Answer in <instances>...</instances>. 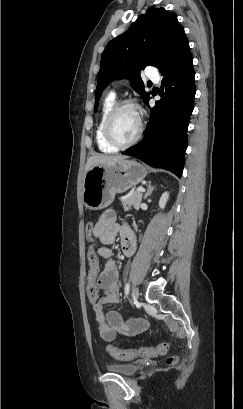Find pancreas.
I'll use <instances>...</instances> for the list:
<instances>
[{"label":"pancreas","mask_w":243,"mask_h":409,"mask_svg":"<svg viewBox=\"0 0 243 409\" xmlns=\"http://www.w3.org/2000/svg\"><path fill=\"white\" fill-rule=\"evenodd\" d=\"M120 200L125 211L131 210L132 207L138 210L142 201V193L138 190L132 191L128 196L122 197Z\"/></svg>","instance_id":"pancreas-1"}]
</instances>
